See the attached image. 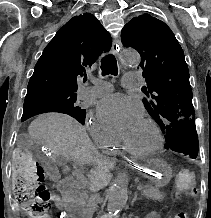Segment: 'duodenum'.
<instances>
[{"mask_svg": "<svg viewBox=\"0 0 211 218\" xmlns=\"http://www.w3.org/2000/svg\"><path fill=\"white\" fill-rule=\"evenodd\" d=\"M64 203V207L71 218H82V210L74 189V185L69 180H62L57 185Z\"/></svg>", "mask_w": 211, "mask_h": 218, "instance_id": "1", "label": "duodenum"}]
</instances>
